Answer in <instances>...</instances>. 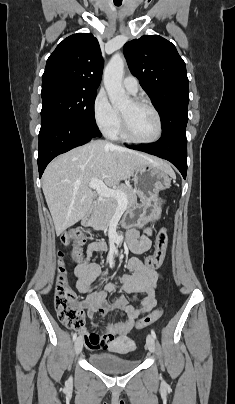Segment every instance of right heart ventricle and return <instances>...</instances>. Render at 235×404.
<instances>
[{"label": "right heart ventricle", "mask_w": 235, "mask_h": 404, "mask_svg": "<svg viewBox=\"0 0 235 404\" xmlns=\"http://www.w3.org/2000/svg\"><path fill=\"white\" fill-rule=\"evenodd\" d=\"M111 138L113 139H117V140H125V137L122 134V130H121V124L119 123L118 127L116 128V130L109 135Z\"/></svg>", "instance_id": "1"}]
</instances>
